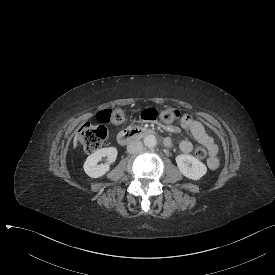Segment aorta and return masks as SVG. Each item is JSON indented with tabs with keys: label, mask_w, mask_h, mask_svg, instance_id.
<instances>
[{
	"label": "aorta",
	"mask_w": 275,
	"mask_h": 275,
	"mask_svg": "<svg viewBox=\"0 0 275 275\" xmlns=\"http://www.w3.org/2000/svg\"><path fill=\"white\" fill-rule=\"evenodd\" d=\"M143 143L146 147H154L157 144V140L154 135H146L143 138Z\"/></svg>",
	"instance_id": "762f6f07"
}]
</instances>
